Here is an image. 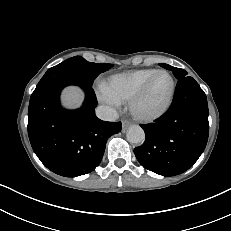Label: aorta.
Returning <instances> with one entry per match:
<instances>
[{"instance_id":"1","label":"aorta","mask_w":231,"mask_h":231,"mask_svg":"<svg viewBox=\"0 0 231 231\" xmlns=\"http://www.w3.org/2000/svg\"><path fill=\"white\" fill-rule=\"evenodd\" d=\"M127 140L133 144L143 143L145 140V133L138 125L131 126L127 131Z\"/></svg>"}]
</instances>
